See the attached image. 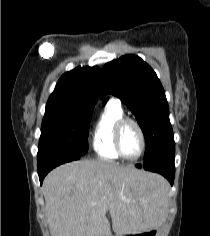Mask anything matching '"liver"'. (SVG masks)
Returning a JSON list of instances; mask_svg holds the SVG:
<instances>
[{"label":"liver","instance_id":"obj_1","mask_svg":"<svg viewBox=\"0 0 210 236\" xmlns=\"http://www.w3.org/2000/svg\"><path fill=\"white\" fill-rule=\"evenodd\" d=\"M45 214L51 236H116L158 225L167 189L154 173L104 159L61 165L43 182Z\"/></svg>","mask_w":210,"mask_h":236}]
</instances>
